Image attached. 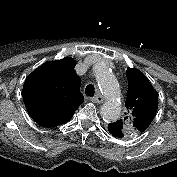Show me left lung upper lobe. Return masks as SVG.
<instances>
[{"instance_id":"1","label":"left lung upper lobe","mask_w":177,"mask_h":177,"mask_svg":"<svg viewBox=\"0 0 177 177\" xmlns=\"http://www.w3.org/2000/svg\"><path fill=\"white\" fill-rule=\"evenodd\" d=\"M128 91L123 119L112 123L123 135L121 138L141 136L155 118L158 108V92L139 70L128 68Z\"/></svg>"}]
</instances>
